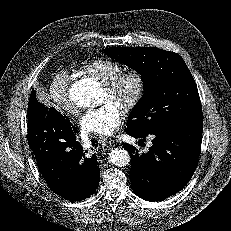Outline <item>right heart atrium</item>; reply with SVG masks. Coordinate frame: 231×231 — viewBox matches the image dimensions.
Wrapping results in <instances>:
<instances>
[{
  "instance_id": "right-heart-atrium-1",
  "label": "right heart atrium",
  "mask_w": 231,
  "mask_h": 231,
  "mask_svg": "<svg viewBox=\"0 0 231 231\" xmlns=\"http://www.w3.org/2000/svg\"><path fill=\"white\" fill-rule=\"evenodd\" d=\"M70 76L66 71L54 75L50 84V95L60 110L74 114L77 109L69 96Z\"/></svg>"
}]
</instances>
